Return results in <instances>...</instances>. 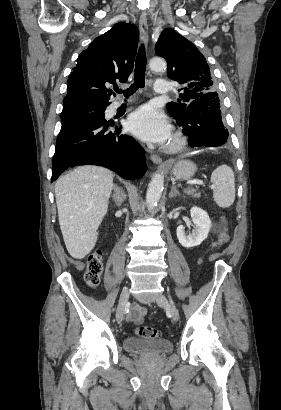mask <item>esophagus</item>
<instances>
[{
  "mask_svg": "<svg viewBox=\"0 0 281 410\" xmlns=\"http://www.w3.org/2000/svg\"><path fill=\"white\" fill-rule=\"evenodd\" d=\"M139 30L141 38L145 45L148 43V24H147V15L145 12H142L139 19ZM150 159L159 166H165L162 158L157 154H151Z\"/></svg>",
  "mask_w": 281,
  "mask_h": 410,
  "instance_id": "esophagus-1",
  "label": "esophagus"
}]
</instances>
